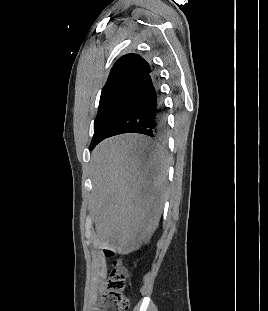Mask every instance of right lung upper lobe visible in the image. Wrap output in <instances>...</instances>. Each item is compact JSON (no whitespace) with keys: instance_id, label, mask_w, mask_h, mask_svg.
Returning <instances> with one entry per match:
<instances>
[{"instance_id":"cb5924a9","label":"right lung upper lobe","mask_w":268,"mask_h":311,"mask_svg":"<svg viewBox=\"0 0 268 311\" xmlns=\"http://www.w3.org/2000/svg\"><path fill=\"white\" fill-rule=\"evenodd\" d=\"M150 70L148 62L140 55L130 53L122 56L112 67L101 97L122 86L137 84Z\"/></svg>"}]
</instances>
